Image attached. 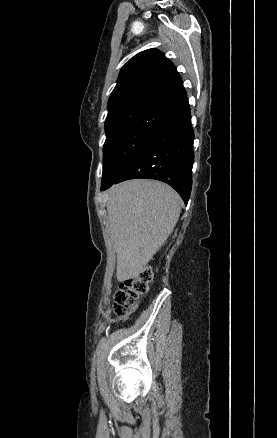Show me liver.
<instances>
[{
    "label": "liver",
    "instance_id": "liver-1",
    "mask_svg": "<svg viewBox=\"0 0 277 438\" xmlns=\"http://www.w3.org/2000/svg\"><path fill=\"white\" fill-rule=\"evenodd\" d=\"M181 200L168 184L129 180L110 190L107 214L117 254L118 282L139 278L171 236Z\"/></svg>",
    "mask_w": 277,
    "mask_h": 438
}]
</instances>
